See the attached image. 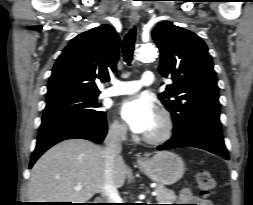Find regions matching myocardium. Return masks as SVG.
<instances>
[{
  "label": "myocardium",
  "instance_id": "obj_1",
  "mask_svg": "<svg viewBox=\"0 0 253 205\" xmlns=\"http://www.w3.org/2000/svg\"><path fill=\"white\" fill-rule=\"evenodd\" d=\"M160 121V129L152 135H144L143 140L148 144H161L168 141L174 131V122L170 112L166 109H160L157 114Z\"/></svg>",
  "mask_w": 253,
  "mask_h": 205
}]
</instances>
